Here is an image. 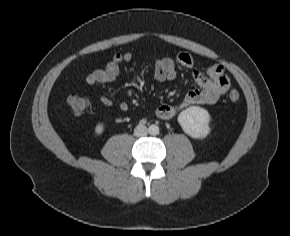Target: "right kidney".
Masks as SVG:
<instances>
[{"label": "right kidney", "mask_w": 290, "mask_h": 236, "mask_svg": "<svg viewBox=\"0 0 290 236\" xmlns=\"http://www.w3.org/2000/svg\"><path fill=\"white\" fill-rule=\"evenodd\" d=\"M103 130H104V125H103L102 123H99V124L95 127V133H96L97 135L102 134Z\"/></svg>", "instance_id": "obj_1"}]
</instances>
